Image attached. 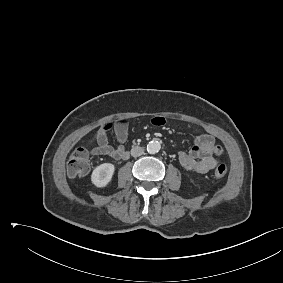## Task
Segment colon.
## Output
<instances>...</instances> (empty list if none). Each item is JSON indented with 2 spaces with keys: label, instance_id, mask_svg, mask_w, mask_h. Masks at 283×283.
<instances>
[{
  "label": "colon",
  "instance_id": "colon-1",
  "mask_svg": "<svg viewBox=\"0 0 283 283\" xmlns=\"http://www.w3.org/2000/svg\"><path fill=\"white\" fill-rule=\"evenodd\" d=\"M90 169V157L86 148L79 147L75 149L70 155L67 162V173L71 177L83 176ZM227 168L221 164L216 167L214 175L216 178L221 179L225 177Z\"/></svg>",
  "mask_w": 283,
  "mask_h": 283
}]
</instances>
